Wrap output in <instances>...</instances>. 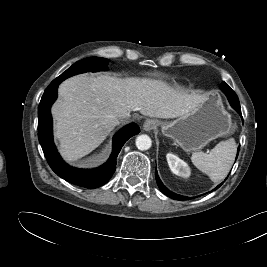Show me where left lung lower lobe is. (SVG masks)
<instances>
[{"label": "left lung lower lobe", "mask_w": 267, "mask_h": 267, "mask_svg": "<svg viewBox=\"0 0 267 267\" xmlns=\"http://www.w3.org/2000/svg\"><path fill=\"white\" fill-rule=\"evenodd\" d=\"M221 89L222 91L226 94L232 108L242 117V114H241V108H240V104H239V99L236 95V93L228 86H224L222 87L221 86ZM238 152H239V148H238ZM238 152H237V155H238ZM155 177H156V181H157V184L160 188V190L165 194L167 195L168 197L172 198V199H176V200H186L188 199V197H185V196H181V195H178L174 192H170L161 182L159 176H158V173H157V170L155 172ZM220 185H218L215 189H217L218 187H220Z\"/></svg>", "instance_id": "0a47b994"}]
</instances>
